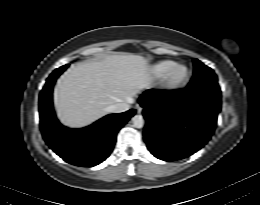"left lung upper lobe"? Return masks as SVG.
<instances>
[{
	"label": "left lung upper lobe",
	"instance_id": "obj_1",
	"mask_svg": "<svg viewBox=\"0 0 260 205\" xmlns=\"http://www.w3.org/2000/svg\"><path fill=\"white\" fill-rule=\"evenodd\" d=\"M188 87L207 89L221 93L214 71L197 59H194V75Z\"/></svg>",
	"mask_w": 260,
	"mask_h": 205
}]
</instances>
